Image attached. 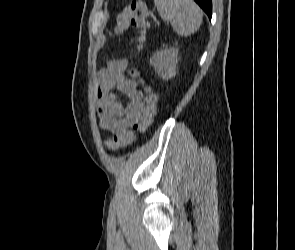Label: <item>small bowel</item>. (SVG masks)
I'll return each instance as SVG.
<instances>
[{
  "label": "small bowel",
  "instance_id": "c3829d8e",
  "mask_svg": "<svg viewBox=\"0 0 295 250\" xmlns=\"http://www.w3.org/2000/svg\"><path fill=\"white\" fill-rule=\"evenodd\" d=\"M127 67V59L110 60L99 74L97 90L99 126L112 133V139L119 141L122 148L134 141L133 129L137 128L145 111L144 94L137 82L126 76ZM116 91L127 97L126 106Z\"/></svg>",
  "mask_w": 295,
  "mask_h": 250
}]
</instances>
